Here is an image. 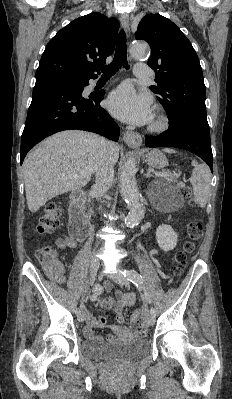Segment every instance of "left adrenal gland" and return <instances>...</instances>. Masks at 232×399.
I'll use <instances>...</instances> for the list:
<instances>
[{
	"label": "left adrenal gland",
	"mask_w": 232,
	"mask_h": 399,
	"mask_svg": "<svg viewBox=\"0 0 232 399\" xmlns=\"http://www.w3.org/2000/svg\"><path fill=\"white\" fill-rule=\"evenodd\" d=\"M149 174H150V172H148V174H146V178H149Z\"/></svg>",
	"instance_id": "left-adrenal-gland-1"
}]
</instances>
